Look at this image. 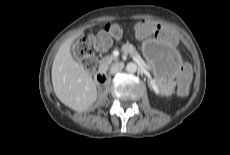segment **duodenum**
Here are the masks:
<instances>
[{"label":"duodenum","mask_w":230,"mask_h":155,"mask_svg":"<svg viewBox=\"0 0 230 155\" xmlns=\"http://www.w3.org/2000/svg\"><path fill=\"white\" fill-rule=\"evenodd\" d=\"M96 81L100 85L106 84L108 82V73L106 68H102L96 73Z\"/></svg>","instance_id":"duodenum-1"}]
</instances>
